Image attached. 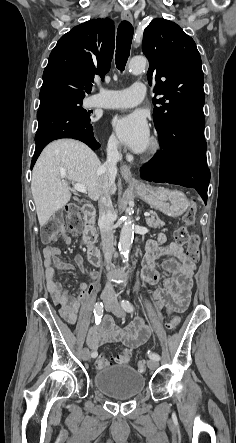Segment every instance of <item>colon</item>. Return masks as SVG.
Masks as SVG:
<instances>
[{
	"instance_id": "obj_1",
	"label": "colon",
	"mask_w": 236,
	"mask_h": 443,
	"mask_svg": "<svg viewBox=\"0 0 236 443\" xmlns=\"http://www.w3.org/2000/svg\"><path fill=\"white\" fill-rule=\"evenodd\" d=\"M196 204L192 202L188 211L183 216L182 224L175 230L174 239L178 245H186L187 256L192 262H197L200 258L199 237L190 234L188 228L193 225L195 221ZM65 226L71 232H78L82 227V213L77 205H69L66 207L64 217H56L47 223L41 231V238L44 243H52L64 237ZM180 323L178 316L173 317L169 323L168 328L175 330ZM131 359V352L128 349H123L122 352L116 356L100 355L94 362L96 368H105L113 363H128ZM138 370L140 372L146 371V361L140 360L138 362Z\"/></svg>"
}]
</instances>
